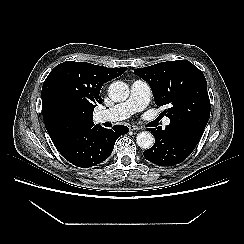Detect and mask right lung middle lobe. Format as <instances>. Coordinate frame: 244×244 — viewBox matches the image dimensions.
Masks as SVG:
<instances>
[{
	"label": "right lung middle lobe",
	"instance_id": "dd1d6c3e",
	"mask_svg": "<svg viewBox=\"0 0 244 244\" xmlns=\"http://www.w3.org/2000/svg\"><path fill=\"white\" fill-rule=\"evenodd\" d=\"M54 112L58 122L64 127L72 125L76 120V113L64 104H57Z\"/></svg>",
	"mask_w": 244,
	"mask_h": 244
}]
</instances>
